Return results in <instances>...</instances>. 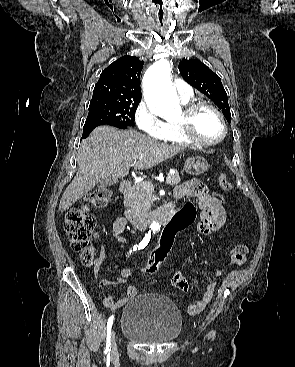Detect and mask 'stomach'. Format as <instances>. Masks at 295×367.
Listing matches in <instances>:
<instances>
[{
	"mask_svg": "<svg viewBox=\"0 0 295 367\" xmlns=\"http://www.w3.org/2000/svg\"><path fill=\"white\" fill-rule=\"evenodd\" d=\"M209 167L207 160L200 156L191 157L186 160L184 170L190 175H200Z\"/></svg>",
	"mask_w": 295,
	"mask_h": 367,
	"instance_id": "stomach-1",
	"label": "stomach"
}]
</instances>
